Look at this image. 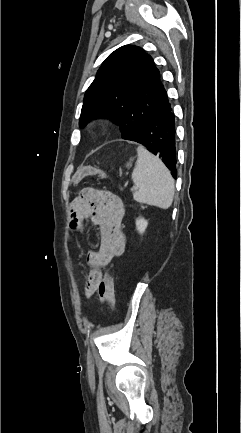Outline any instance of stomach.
Listing matches in <instances>:
<instances>
[{
  "label": "stomach",
  "mask_w": 241,
  "mask_h": 433,
  "mask_svg": "<svg viewBox=\"0 0 241 433\" xmlns=\"http://www.w3.org/2000/svg\"><path fill=\"white\" fill-rule=\"evenodd\" d=\"M130 165H131V163H127V165H126V166H127V167H129Z\"/></svg>",
  "instance_id": "0dacf381"
}]
</instances>
